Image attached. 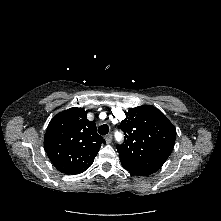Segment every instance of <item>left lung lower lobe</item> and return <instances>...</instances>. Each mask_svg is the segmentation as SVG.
Returning a JSON list of instances; mask_svg holds the SVG:
<instances>
[{"mask_svg": "<svg viewBox=\"0 0 221 221\" xmlns=\"http://www.w3.org/2000/svg\"><path fill=\"white\" fill-rule=\"evenodd\" d=\"M126 170H128L130 173L135 174L137 176H147V175L155 173L158 169L149 168V169L138 170V171L131 170V169H126Z\"/></svg>", "mask_w": 221, "mask_h": 221, "instance_id": "left-lung-lower-lobe-1", "label": "left lung lower lobe"}]
</instances>
